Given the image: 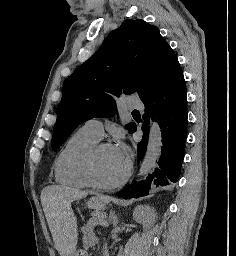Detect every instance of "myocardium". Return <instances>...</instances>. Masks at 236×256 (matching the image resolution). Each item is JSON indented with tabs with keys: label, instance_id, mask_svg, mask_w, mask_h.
I'll return each instance as SVG.
<instances>
[{
	"label": "myocardium",
	"instance_id": "obj_1",
	"mask_svg": "<svg viewBox=\"0 0 236 256\" xmlns=\"http://www.w3.org/2000/svg\"><path fill=\"white\" fill-rule=\"evenodd\" d=\"M107 147H109V144L107 143L96 145L90 152V155L88 158V177H89L90 183L93 187L99 190H104V191L114 190L123 186L128 181L131 175V167H132L131 162L127 161V165L124 170V173L119 179L111 183H105L101 181L97 173L96 159L100 151H102Z\"/></svg>",
	"mask_w": 236,
	"mask_h": 256
}]
</instances>
